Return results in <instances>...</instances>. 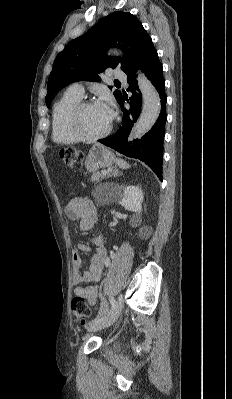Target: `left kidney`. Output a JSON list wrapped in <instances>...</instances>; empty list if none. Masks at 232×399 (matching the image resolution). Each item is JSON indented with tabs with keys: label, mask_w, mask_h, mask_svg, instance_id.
<instances>
[{
	"label": "left kidney",
	"mask_w": 232,
	"mask_h": 399,
	"mask_svg": "<svg viewBox=\"0 0 232 399\" xmlns=\"http://www.w3.org/2000/svg\"><path fill=\"white\" fill-rule=\"evenodd\" d=\"M143 192L141 188L137 186H122V194L120 203L128 209V211H136L141 213L142 211ZM147 227H140L139 235H146Z\"/></svg>",
	"instance_id": "obj_1"
}]
</instances>
